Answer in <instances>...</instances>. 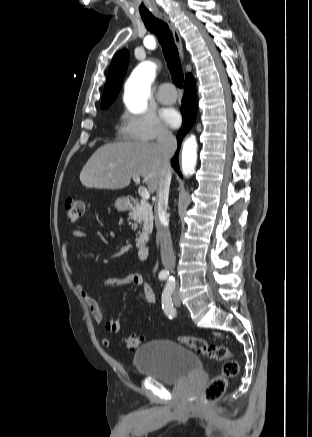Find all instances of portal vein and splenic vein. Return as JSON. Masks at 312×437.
<instances>
[{
  "label": "portal vein and splenic vein",
  "instance_id": "18ae733b",
  "mask_svg": "<svg viewBox=\"0 0 312 437\" xmlns=\"http://www.w3.org/2000/svg\"><path fill=\"white\" fill-rule=\"evenodd\" d=\"M133 180L137 184L140 183V177L139 176L134 175L133 176ZM138 192H139V195L141 196V198L143 200H148L150 198L149 191L145 187H139Z\"/></svg>",
  "mask_w": 312,
  "mask_h": 437
}]
</instances>
